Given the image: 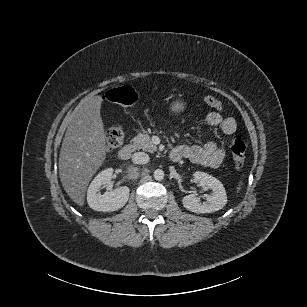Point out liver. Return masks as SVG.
I'll list each match as a JSON object with an SVG mask.
<instances>
[{
    "label": "liver",
    "instance_id": "6515ba94",
    "mask_svg": "<svg viewBox=\"0 0 307 307\" xmlns=\"http://www.w3.org/2000/svg\"><path fill=\"white\" fill-rule=\"evenodd\" d=\"M103 102L102 95L87 98L64 120L67 130L59 155L60 181L80 207L85 206L88 185L107 157Z\"/></svg>",
    "mask_w": 307,
    "mask_h": 307
}]
</instances>
